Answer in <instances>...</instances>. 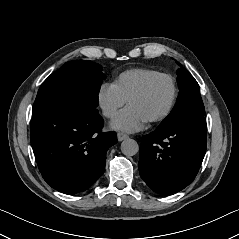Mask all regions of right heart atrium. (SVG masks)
Segmentation results:
<instances>
[{
    "instance_id": "right-heart-atrium-1",
    "label": "right heart atrium",
    "mask_w": 239,
    "mask_h": 239,
    "mask_svg": "<svg viewBox=\"0 0 239 239\" xmlns=\"http://www.w3.org/2000/svg\"><path fill=\"white\" fill-rule=\"evenodd\" d=\"M97 99L103 115L107 118L114 117L126 102L115 85L110 83L101 85Z\"/></svg>"
}]
</instances>
